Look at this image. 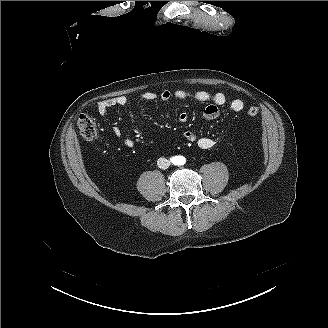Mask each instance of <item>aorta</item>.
<instances>
[{
  "mask_svg": "<svg viewBox=\"0 0 328 328\" xmlns=\"http://www.w3.org/2000/svg\"><path fill=\"white\" fill-rule=\"evenodd\" d=\"M178 165H183L185 164V158L184 157H180V161L177 162Z\"/></svg>",
  "mask_w": 328,
  "mask_h": 328,
  "instance_id": "1",
  "label": "aorta"
}]
</instances>
